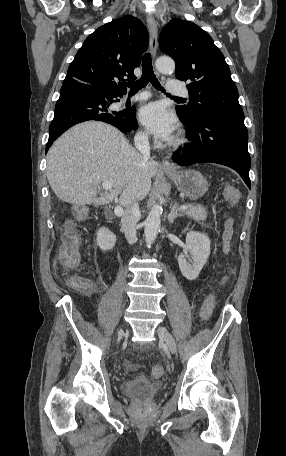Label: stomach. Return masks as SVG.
Here are the masks:
<instances>
[{"mask_svg": "<svg viewBox=\"0 0 286 456\" xmlns=\"http://www.w3.org/2000/svg\"><path fill=\"white\" fill-rule=\"evenodd\" d=\"M168 176L190 200L201 198L208 190L207 180L198 171L183 170L176 174L168 173Z\"/></svg>", "mask_w": 286, "mask_h": 456, "instance_id": "0dacf381", "label": "stomach"}]
</instances>
